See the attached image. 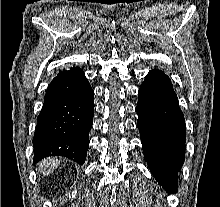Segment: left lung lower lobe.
Returning a JSON list of instances; mask_svg holds the SVG:
<instances>
[{
    "label": "left lung lower lobe",
    "instance_id": "left-lung-lower-lobe-1",
    "mask_svg": "<svg viewBox=\"0 0 220 207\" xmlns=\"http://www.w3.org/2000/svg\"><path fill=\"white\" fill-rule=\"evenodd\" d=\"M136 111L145 160L160 185L175 193L186 128L173 85L163 71H149L138 92Z\"/></svg>",
    "mask_w": 220,
    "mask_h": 207
}]
</instances>
